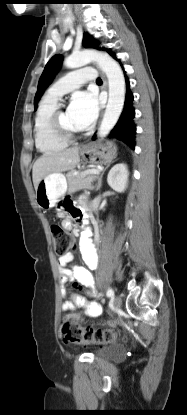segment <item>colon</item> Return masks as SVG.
Here are the masks:
<instances>
[{
    "mask_svg": "<svg viewBox=\"0 0 187 415\" xmlns=\"http://www.w3.org/2000/svg\"><path fill=\"white\" fill-rule=\"evenodd\" d=\"M51 233L55 243V253L58 256L66 255L74 247V238L60 224H52ZM62 335L67 343H109L122 338L123 331L121 328L92 330L79 327L73 322L67 321L62 327Z\"/></svg>",
    "mask_w": 187,
    "mask_h": 415,
    "instance_id": "5ec220e1",
    "label": "colon"
}]
</instances>
